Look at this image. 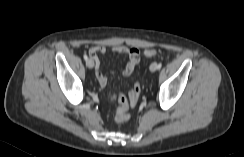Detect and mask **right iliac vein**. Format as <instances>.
Masks as SVG:
<instances>
[{"instance_id":"right-iliac-vein-1","label":"right iliac vein","mask_w":244,"mask_h":157,"mask_svg":"<svg viewBox=\"0 0 244 157\" xmlns=\"http://www.w3.org/2000/svg\"><path fill=\"white\" fill-rule=\"evenodd\" d=\"M86 65H87V67L90 68V69H92V68L94 67V63H93V61H92L91 59H88V60L86 61Z\"/></svg>"}]
</instances>
